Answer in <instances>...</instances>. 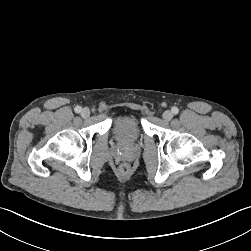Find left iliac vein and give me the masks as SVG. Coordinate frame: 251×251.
<instances>
[{
    "label": "left iliac vein",
    "instance_id": "obj_1",
    "mask_svg": "<svg viewBox=\"0 0 251 251\" xmlns=\"http://www.w3.org/2000/svg\"><path fill=\"white\" fill-rule=\"evenodd\" d=\"M172 118H173V113L171 111L167 110L163 113V119L165 121H170Z\"/></svg>",
    "mask_w": 251,
    "mask_h": 251
}]
</instances>
